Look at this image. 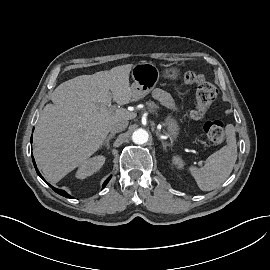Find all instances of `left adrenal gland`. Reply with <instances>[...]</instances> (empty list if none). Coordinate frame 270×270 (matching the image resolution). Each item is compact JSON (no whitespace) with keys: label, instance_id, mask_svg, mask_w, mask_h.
<instances>
[{"label":"left adrenal gland","instance_id":"left-adrenal-gland-1","mask_svg":"<svg viewBox=\"0 0 270 270\" xmlns=\"http://www.w3.org/2000/svg\"><path fill=\"white\" fill-rule=\"evenodd\" d=\"M159 140H161V139L159 138ZM161 143H162V145H163V148L166 149L167 144H166L165 142H163L162 140H161Z\"/></svg>","mask_w":270,"mask_h":270}]
</instances>
